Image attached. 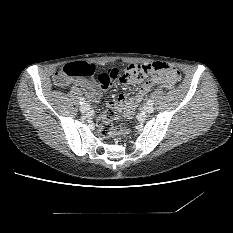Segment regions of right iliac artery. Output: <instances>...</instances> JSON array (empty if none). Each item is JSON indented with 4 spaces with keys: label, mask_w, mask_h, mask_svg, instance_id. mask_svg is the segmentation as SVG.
Masks as SVG:
<instances>
[{
    "label": "right iliac artery",
    "mask_w": 233,
    "mask_h": 233,
    "mask_svg": "<svg viewBox=\"0 0 233 233\" xmlns=\"http://www.w3.org/2000/svg\"><path fill=\"white\" fill-rule=\"evenodd\" d=\"M85 102H86L85 99L82 98V99H80V102H79V103H80L81 105H84Z\"/></svg>",
    "instance_id": "right-iliac-artery-1"
}]
</instances>
